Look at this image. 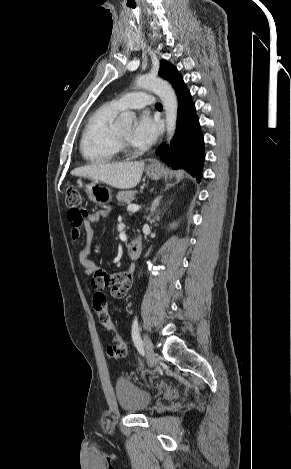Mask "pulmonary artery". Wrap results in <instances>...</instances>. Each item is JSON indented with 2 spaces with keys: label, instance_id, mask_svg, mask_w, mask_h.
Segmentation results:
<instances>
[{
  "label": "pulmonary artery",
  "instance_id": "1",
  "mask_svg": "<svg viewBox=\"0 0 291 469\" xmlns=\"http://www.w3.org/2000/svg\"><path fill=\"white\" fill-rule=\"evenodd\" d=\"M117 109H141L155 103L154 97L145 91L125 94L111 102Z\"/></svg>",
  "mask_w": 291,
  "mask_h": 469
}]
</instances>
